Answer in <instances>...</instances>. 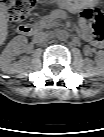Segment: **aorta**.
<instances>
[{
  "instance_id": "aorta-1",
  "label": "aorta",
  "mask_w": 104,
  "mask_h": 137,
  "mask_svg": "<svg viewBox=\"0 0 104 137\" xmlns=\"http://www.w3.org/2000/svg\"><path fill=\"white\" fill-rule=\"evenodd\" d=\"M56 36H57V38L58 39H65L66 37H67V33H66V31L65 30H58L57 32H56Z\"/></svg>"
}]
</instances>
